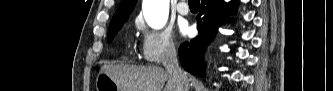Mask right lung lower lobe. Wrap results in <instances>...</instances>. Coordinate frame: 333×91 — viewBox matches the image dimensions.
<instances>
[{
    "mask_svg": "<svg viewBox=\"0 0 333 91\" xmlns=\"http://www.w3.org/2000/svg\"><path fill=\"white\" fill-rule=\"evenodd\" d=\"M235 9L233 1L201 0L200 12L196 17L199 35L179 47V58L185 70L197 76L204 75L205 63L202 57L205 46H208L217 28L229 15L234 14Z\"/></svg>",
    "mask_w": 333,
    "mask_h": 91,
    "instance_id": "98d812e1",
    "label": "right lung lower lobe"
}]
</instances>
